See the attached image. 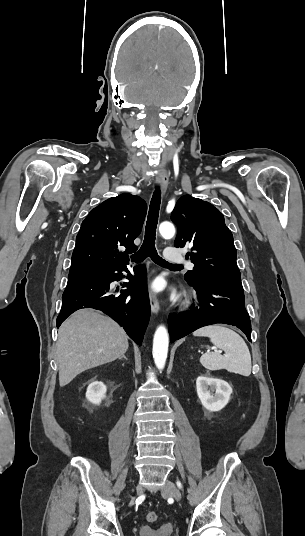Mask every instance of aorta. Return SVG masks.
Returning a JSON list of instances; mask_svg holds the SVG:
<instances>
[{
  "instance_id": "obj_1",
  "label": "aorta",
  "mask_w": 305,
  "mask_h": 536,
  "mask_svg": "<svg viewBox=\"0 0 305 536\" xmlns=\"http://www.w3.org/2000/svg\"><path fill=\"white\" fill-rule=\"evenodd\" d=\"M159 232L165 239L172 238L175 234V227L170 222H163L159 226ZM168 332L165 326H159L154 334L153 338V358L156 367L162 370L165 366L167 354H168Z\"/></svg>"
}]
</instances>
